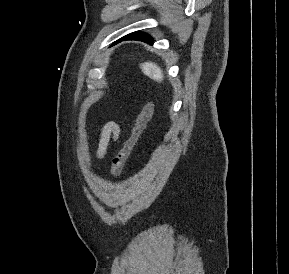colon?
<instances>
[{
	"label": "colon",
	"mask_w": 289,
	"mask_h": 274,
	"mask_svg": "<svg viewBox=\"0 0 289 274\" xmlns=\"http://www.w3.org/2000/svg\"><path fill=\"white\" fill-rule=\"evenodd\" d=\"M153 112L154 103L152 101H147L136 119L130 137L112 160L110 168V175L112 178H117L124 169L132 150L146 128V125L152 118Z\"/></svg>",
	"instance_id": "obj_1"
}]
</instances>
